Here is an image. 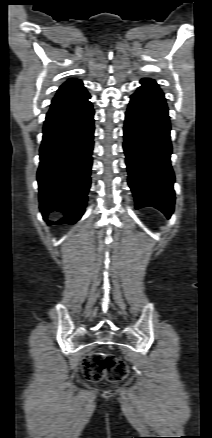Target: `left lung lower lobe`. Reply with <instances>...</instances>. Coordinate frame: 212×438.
I'll list each match as a JSON object with an SVG mask.
<instances>
[{
	"label": "left lung lower lobe",
	"instance_id": "0a47b994",
	"mask_svg": "<svg viewBox=\"0 0 212 438\" xmlns=\"http://www.w3.org/2000/svg\"><path fill=\"white\" fill-rule=\"evenodd\" d=\"M131 96L124 126L128 183L135 208L152 206L167 217L174 211V173L170 163V121L164 94L152 79H143Z\"/></svg>",
	"mask_w": 212,
	"mask_h": 438
}]
</instances>
